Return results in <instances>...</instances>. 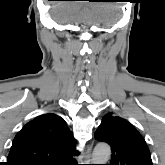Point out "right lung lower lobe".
I'll return each mask as SVG.
<instances>
[{
	"label": "right lung lower lobe",
	"mask_w": 165,
	"mask_h": 165,
	"mask_svg": "<svg viewBox=\"0 0 165 165\" xmlns=\"http://www.w3.org/2000/svg\"><path fill=\"white\" fill-rule=\"evenodd\" d=\"M73 155L66 156L62 161L56 163V165H77L76 161L72 158Z\"/></svg>",
	"instance_id": "98d812e1"
}]
</instances>
